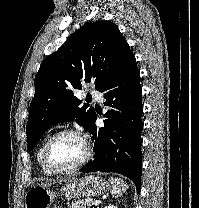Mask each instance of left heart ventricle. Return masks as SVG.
Returning a JSON list of instances; mask_svg holds the SVG:
<instances>
[{
    "instance_id": "b2bd125f",
    "label": "left heart ventricle",
    "mask_w": 199,
    "mask_h": 208,
    "mask_svg": "<svg viewBox=\"0 0 199 208\" xmlns=\"http://www.w3.org/2000/svg\"><path fill=\"white\" fill-rule=\"evenodd\" d=\"M84 155L85 147L74 135H63L57 138L49 150L50 160L58 168H69L77 164Z\"/></svg>"
}]
</instances>
